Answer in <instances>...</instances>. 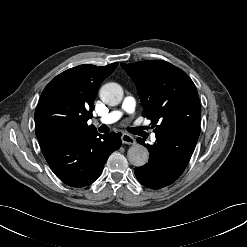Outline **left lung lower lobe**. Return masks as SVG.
I'll return each instance as SVG.
<instances>
[{"instance_id": "1", "label": "left lung lower lobe", "mask_w": 247, "mask_h": 247, "mask_svg": "<svg viewBox=\"0 0 247 247\" xmlns=\"http://www.w3.org/2000/svg\"><path fill=\"white\" fill-rule=\"evenodd\" d=\"M197 138L173 131L156 134L153 145L145 140L137 141L150 152L147 164L135 168L138 181L151 189H160L172 184L185 170L195 149Z\"/></svg>"}]
</instances>
